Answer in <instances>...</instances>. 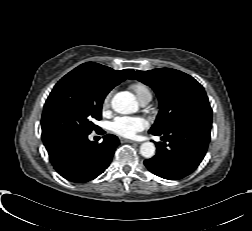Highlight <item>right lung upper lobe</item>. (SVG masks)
Returning <instances> with one entry per match:
<instances>
[{
	"mask_svg": "<svg viewBox=\"0 0 252 231\" xmlns=\"http://www.w3.org/2000/svg\"><path fill=\"white\" fill-rule=\"evenodd\" d=\"M132 71V69L116 71L98 63L87 62L81 64L67 75L80 73L113 88L124 81Z\"/></svg>",
	"mask_w": 252,
	"mask_h": 231,
	"instance_id": "right-lung-upper-lobe-1",
	"label": "right lung upper lobe"
}]
</instances>
